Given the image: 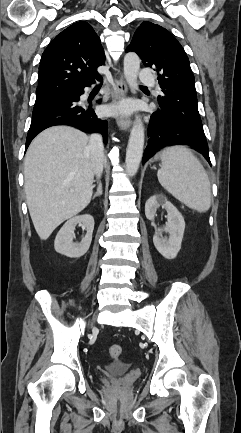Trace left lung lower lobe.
<instances>
[{
    "mask_svg": "<svg viewBox=\"0 0 241 433\" xmlns=\"http://www.w3.org/2000/svg\"><path fill=\"white\" fill-rule=\"evenodd\" d=\"M171 145H188L201 153L211 165L206 137L199 136L166 112L158 109L150 119L148 141L142 164L161 148Z\"/></svg>",
    "mask_w": 241,
    "mask_h": 433,
    "instance_id": "left-lung-lower-lobe-1",
    "label": "left lung lower lobe"
}]
</instances>
